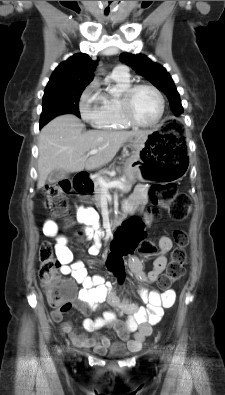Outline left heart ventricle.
Here are the masks:
<instances>
[{
	"label": "left heart ventricle",
	"instance_id": "1",
	"mask_svg": "<svg viewBox=\"0 0 225 395\" xmlns=\"http://www.w3.org/2000/svg\"><path fill=\"white\" fill-rule=\"evenodd\" d=\"M159 101L157 96L149 89L138 90L132 100V113L141 123L153 122L159 114Z\"/></svg>",
	"mask_w": 225,
	"mask_h": 395
}]
</instances>
